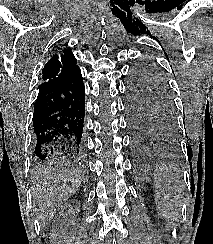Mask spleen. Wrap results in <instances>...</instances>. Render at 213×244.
<instances>
[{
    "label": "spleen",
    "instance_id": "spleen-1",
    "mask_svg": "<svg viewBox=\"0 0 213 244\" xmlns=\"http://www.w3.org/2000/svg\"><path fill=\"white\" fill-rule=\"evenodd\" d=\"M155 183L159 189V195L156 196L157 209L164 218L172 222L179 208L183 181L176 171L166 169L155 177Z\"/></svg>",
    "mask_w": 213,
    "mask_h": 244
}]
</instances>
